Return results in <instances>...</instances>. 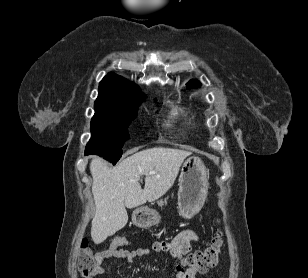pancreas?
I'll return each instance as SVG.
<instances>
[{"mask_svg":"<svg viewBox=\"0 0 308 278\" xmlns=\"http://www.w3.org/2000/svg\"><path fill=\"white\" fill-rule=\"evenodd\" d=\"M164 203L165 204L167 203L166 199L164 201L163 200L158 201L159 206H163Z\"/></svg>","mask_w":308,"mask_h":278,"instance_id":"cf45deb5","label":"pancreas"}]
</instances>
